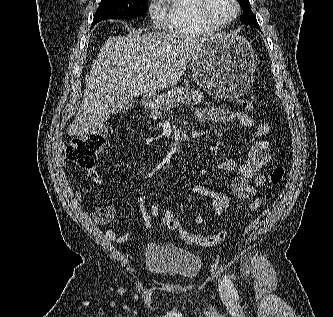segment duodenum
Masks as SVG:
<instances>
[{
  "mask_svg": "<svg viewBox=\"0 0 333 317\" xmlns=\"http://www.w3.org/2000/svg\"><path fill=\"white\" fill-rule=\"evenodd\" d=\"M154 103H155V97L151 95L146 96L143 100V104L145 107H151L154 105Z\"/></svg>",
  "mask_w": 333,
  "mask_h": 317,
  "instance_id": "obj_1",
  "label": "duodenum"
}]
</instances>
